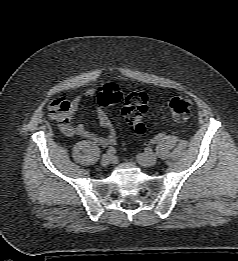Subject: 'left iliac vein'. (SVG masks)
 <instances>
[{"label":"left iliac vein","instance_id":"left-iliac-vein-1","mask_svg":"<svg viewBox=\"0 0 238 261\" xmlns=\"http://www.w3.org/2000/svg\"><path fill=\"white\" fill-rule=\"evenodd\" d=\"M137 162L144 167H150L156 164L157 156L152 152L140 153L136 157Z\"/></svg>","mask_w":238,"mask_h":261}]
</instances>
